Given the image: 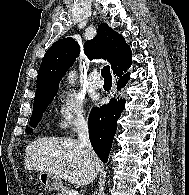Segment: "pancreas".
<instances>
[{
    "instance_id": "obj_1",
    "label": "pancreas",
    "mask_w": 189,
    "mask_h": 195,
    "mask_svg": "<svg viewBox=\"0 0 189 195\" xmlns=\"http://www.w3.org/2000/svg\"><path fill=\"white\" fill-rule=\"evenodd\" d=\"M69 189L67 187H61L58 195H68Z\"/></svg>"
}]
</instances>
